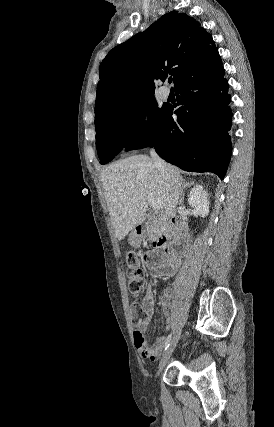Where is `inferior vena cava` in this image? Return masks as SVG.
<instances>
[{
  "label": "inferior vena cava",
  "mask_w": 274,
  "mask_h": 427,
  "mask_svg": "<svg viewBox=\"0 0 274 427\" xmlns=\"http://www.w3.org/2000/svg\"><path fill=\"white\" fill-rule=\"evenodd\" d=\"M150 156H151L156 168H159V170H165L166 162H164V160H161V158H159V156H158V154H156L155 150H150Z\"/></svg>",
  "instance_id": "obj_1"
}]
</instances>
